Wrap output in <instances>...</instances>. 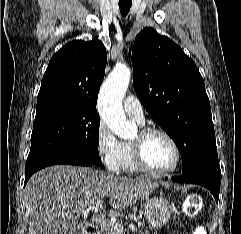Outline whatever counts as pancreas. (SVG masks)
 Segmentation results:
<instances>
[{
	"label": "pancreas",
	"instance_id": "cf45deb5",
	"mask_svg": "<svg viewBox=\"0 0 241 234\" xmlns=\"http://www.w3.org/2000/svg\"><path fill=\"white\" fill-rule=\"evenodd\" d=\"M121 227V225H119ZM102 234H123L122 227L120 231L111 229V228H104ZM148 234V233H145Z\"/></svg>",
	"mask_w": 241,
	"mask_h": 234
}]
</instances>
